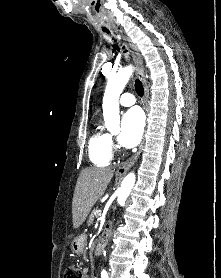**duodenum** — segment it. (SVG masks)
Here are the masks:
<instances>
[{
    "mask_svg": "<svg viewBox=\"0 0 221 278\" xmlns=\"http://www.w3.org/2000/svg\"><path fill=\"white\" fill-rule=\"evenodd\" d=\"M111 228L108 226L105 232L102 234V237L95 243L93 252L95 256H99L105 250L107 243L109 241V235L111 233Z\"/></svg>",
    "mask_w": 221,
    "mask_h": 278,
    "instance_id": "1",
    "label": "duodenum"
}]
</instances>
